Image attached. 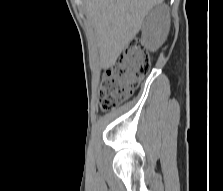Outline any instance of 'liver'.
<instances>
[{
    "label": "liver",
    "mask_w": 223,
    "mask_h": 191,
    "mask_svg": "<svg viewBox=\"0 0 223 191\" xmlns=\"http://www.w3.org/2000/svg\"><path fill=\"white\" fill-rule=\"evenodd\" d=\"M86 15L94 24L102 68L115 64L121 52L140 31L144 18L163 0H84Z\"/></svg>",
    "instance_id": "6515ba94"
}]
</instances>
